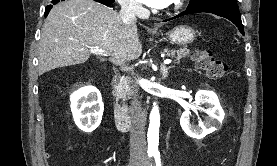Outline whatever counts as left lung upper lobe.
<instances>
[{
  "label": "left lung upper lobe",
  "mask_w": 277,
  "mask_h": 166,
  "mask_svg": "<svg viewBox=\"0 0 277 166\" xmlns=\"http://www.w3.org/2000/svg\"><path fill=\"white\" fill-rule=\"evenodd\" d=\"M214 1H225V2L237 3V0H190V3L188 5L187 9H191V8L197 7L199 5L209 3V2H214Z\"/></svg>",
  "instance_id": "5c2ea615"
}]
</instances>
